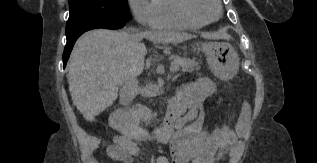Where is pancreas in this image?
<instances>
[{"label": "pancreas", "mask_w": 317, "mask_h": 163, "mask_svg": "<svg viewBox=\"0 0 317 163\" xmlns=\"http://www.w3.org/2000/svg\"><path fill=\"white\" fill-rule=\"evenodd\" d=\"M171 66L181 67L183 72H193L200 69L197 61L179 56L174 57ZM127 118L130 122L139 125L143 122H149L152 119V114L148 108L137 104L128 111Z\"/></svg>", "instance_id": "pancreas-1"}]
</instances>
